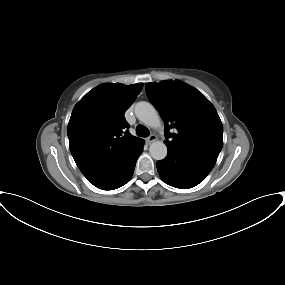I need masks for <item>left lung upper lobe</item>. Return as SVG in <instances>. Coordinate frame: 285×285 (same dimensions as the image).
Segmentation results:
<instances>
[{
	"instance_id": "5c2ea615",
	"label": "left lung upper lobe",
	"mask_w": 285,
	"mask_h": 285,
	"mask_svg": "<svg viewBox=\"0 0 285 285\" xmlns=\"http://www.w3.org/2000/svg\"><path fill=\"white\" fill-rule=\"evenodd\" d=\"M146 94L164 121L168 150L215 164L223 146V125L208 99L180 81L148 83Z\"/></svg>"
}]
</instances>
